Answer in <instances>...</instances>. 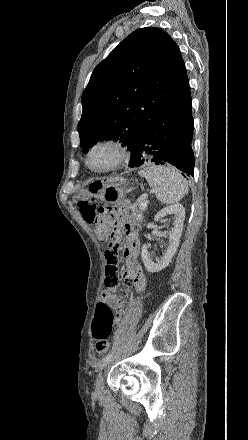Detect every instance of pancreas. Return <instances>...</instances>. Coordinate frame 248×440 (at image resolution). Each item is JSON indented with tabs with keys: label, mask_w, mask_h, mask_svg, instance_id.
<instances>
[{
	"label": "pancreas",
	"mask_w": 248,
	"mask_h": 440,
	"mask_svg": "<svg viewBox=\"0 0 248 440\" xmlns=\"http://www.w3.org/2000/svg\"><path fill=\"white\" fill-rule=\"evenodd\" d=\"M147 209V206L141 207L139 205V210H137L135 207L132 208V218H133V224L137 226H141V223L143 221V212Z\"/></svg>",
	"instance_id": "cf45deb5"
}]
</instances>
